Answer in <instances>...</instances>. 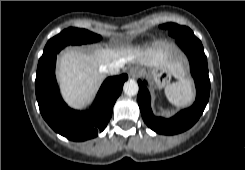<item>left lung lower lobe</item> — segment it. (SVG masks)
<instances>
[{
	"label": "left lung lower lobe",
	"instance_id": "1",
	"mask_svg": "<svg viewBox=\"0 0 245 170\" xmlns=\"http://www.w3.org/2000/svg\"><path fill=\"white\" fill-rule=\"evenodd\" d=\"M187 32L183 38H176V43L187 55L191 74L195 80L197 96L195 103L181 110L174 117L165 119L153 115L150 106V94L146 82L138 80V104L144 122L159 134L173 135L186 131L192 127L202 115L210 95V80L208 76L207 58L201 42L193 41Z\"/></svg>",
	"mask_w": 245,
	"mask_h": 170
}]
</instances>
